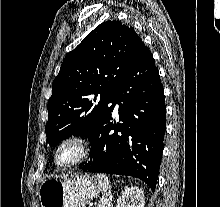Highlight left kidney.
Listing matches in <instances>:
<instances>
[{"label":"left kidney","instance_id":"5707ae66","mask_svg":"<svg viewBox=\"0 0 220 207\" xmlns=\"http://www.w3.org/2000/svg\"><path fill=\"white\" fill-rule=\"evenodd\" d=\"M143 191L138 187H127L117 201V207H144Z\"/></svg>","mask_w":220,"mask_h":207}]
</instances>
